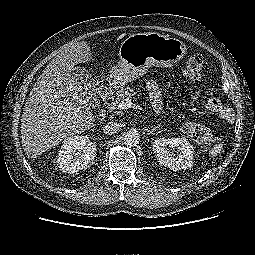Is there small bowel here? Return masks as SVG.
<instances>
[{"instance_id":"1","label":"small bowel","mask_w":255,"mask_h":255,"mask_svg":"<svg viewBox=\"0 0 255 255\" xmlns=\"http://www.w3.org/2000/svg\"><path fill=\"white\" fill-rule=\"evenodd\" d=\"M146 88L150 96V100L153 105V108L155 109V111L159 112L161 109L162 101H161L158 84L154 80H149L146 84ZM207 107L210 110L222 109V105L220 102L217 104L216 107H212L210 106V101H209L207 104Z\"/></svg>"}]
</instances>
